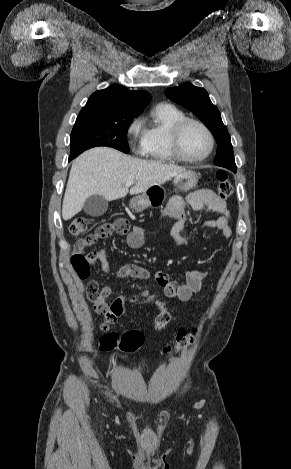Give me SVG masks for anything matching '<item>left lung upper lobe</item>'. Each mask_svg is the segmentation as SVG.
I'll return each mask as SVG.
<instances>
[{"mask_svg":"<svg viewBox=\"0 0 291 469\" xmlns=\"http://www.w3.org/2000/svg\"><path fill=\"white\" fill-rule=\"evenodd\" d=\"M165 94L170 100L197 115L214 135L217 141L214 164L236 172L230 135L222 122L218 108L212 104L207 91L185 82L178 87L167 88Z\"/></svg>","mask_w":291,"mask_h":469,"instance_id":"5c2ea615","label":"left lung upper lobe"}]
</instances>
